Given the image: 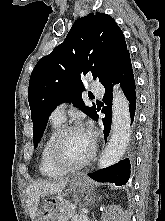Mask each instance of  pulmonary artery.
Masks as SVG:
<instances>
[{
  "label": "pulmonary artery",
  "instance_id": "1",
  "mask_svg": "<svg viewBox=\"0 0 165 221\" xmlns=\"http://www.w3.org/2000/svg\"><path fill=\"white\" fill-rule=\"evenodd\" d=\"M92 90L98 94H101L103 89L101 86L93 84L91 86ZM66 104H60L59 106H57L53 112L50 115V120L51 122H58V123H62L65 120V110H66Z\"/></svg>",
  "mask_w": 165,
  "mask_h": 221
}]
</instances>
